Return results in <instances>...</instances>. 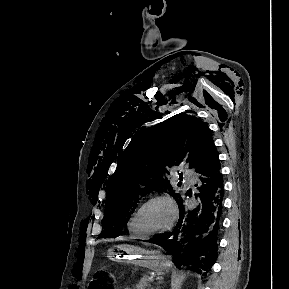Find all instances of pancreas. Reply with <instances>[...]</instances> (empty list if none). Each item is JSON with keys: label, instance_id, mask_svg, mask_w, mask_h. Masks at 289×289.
<instances>
[{"label": "pancreas", "instance_id": "1", "mask_svg": "<svg viewBox=\"0 0 289 289\" xmlns=\"http://www.w3.org/2000/svg\"><path fill=\"white\" fill-rule=\"evenodd\" d=\"M146 287H150V279L148 276H143V278L140 280V282L137 285V289H146Z\"/></svg>", "mask_w": 289, "mask_h": 289}]
</instances>
